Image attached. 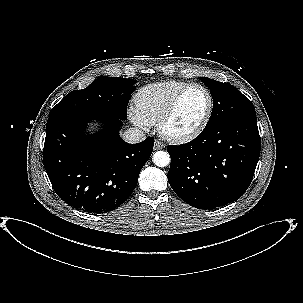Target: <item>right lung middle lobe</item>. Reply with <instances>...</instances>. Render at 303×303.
Instances as JSON below:
<instances>
[{
	"label": "right lung middle lobe",
	"instance_id": "1",
	"mask_svg": "<svg viewBox=\"0 0 303 303\" xmlns=\"http://www.w3.org/2000/svg\"><path fill=\"white\" fill-rule=\"evenodd\" d=\"M135 80L101 76L87 88L67 94L49 113V118L81 113H105L122 120L127 118V105Z\"/></svg>",
	"mask_w": 303,
	"mask_h": 303
}]
</instances>
